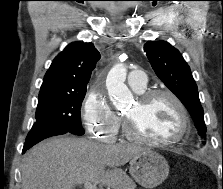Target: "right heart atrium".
<instances>
[{
  "label": "right heart atrium",
  "mask_w": 223,
  "mask_h": 189,
  "mask_svg": "<svg viewBox=\"0 0 223 189\" xmlns=\"http://www.w3.org/2000/svg\"><path fill=\"white\" fill-rule=\"evenodd\" d=\"M81 116L87 131L103 142H112L120 126L115 113L104 93L90 90L81 107Z\"/></svg>",
  "instance_id": "obj_1"
}]
</instances>
